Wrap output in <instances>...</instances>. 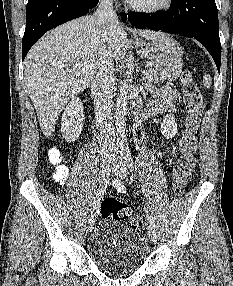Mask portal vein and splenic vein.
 <instances>
[{
  "instance_id": "obj_1",
  "label": "portal vein and splenic vein",
  "mask_w": 233,
  "mask_h": 286,
  "mask_svg": "<svg viewBox=\"0 0 233 286\" xmlns=\"http://www.w3.org/2000/svg\"><path fill=\"white\" fill-rule=\"evenodd\" d=\"M142 74H143V75H149V71H148V70H144V71L142 72Z\"/></svg>"
}]
</instances>
